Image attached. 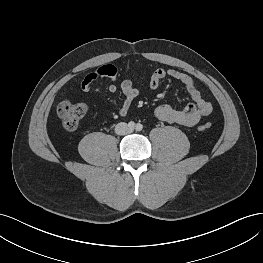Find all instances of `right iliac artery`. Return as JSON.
I'll return each mask as SVG.
<instances>
[{
    "mask_svg": "<svg viewBox=\"0 0 263 263\" xmlns=\"http://www.w3.org/2000/svg\"><path fill=\"white\" fill-rule=\"evenodd\" d=\"M128 127H129L130 129H134L135 123H134L133 121L129 122V123H128Z\"/></svg>",
    "mask_w": 263,
    "mask_h": 263,
    "instance_id": "1",
    "label": "right iliac artery"
}]
</instances>
